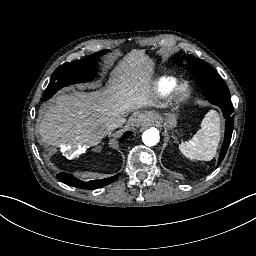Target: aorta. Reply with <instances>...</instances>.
I'll use <instances>...</instances> for the list:
<instances>
[{
	"label": "aorta",
	"mask_w": 256,
	"mask_h": 256,
	"mask_svg": "<svg viewBox=\"0 0 256 256\" xmlns=\"http://www.w3.org/2000/svg\"><path fill=\"white\" fill-rule=\"evenodd\" d=\"M143 143L147 146H154L160 141L159 131L152 127L147 129L142 134Z\"/></svg>",
	"instance_id": "aorta-1"
}]
</instances>
